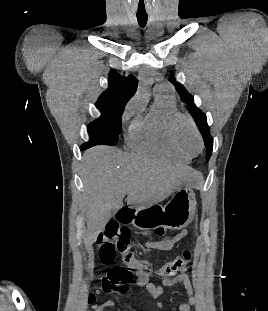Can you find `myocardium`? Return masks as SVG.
Wrapping results in <instances>:
<instances>
[{
  "mask_svg": "<svg viewBox=\"0 0 268 311\" xmlns=\"http://www.w3.org/2000/svg\"><path fill=\"white\" fill-rule=\"evenodd\" d=\"M187 123L190 128L193 130V132L195 133L196 137L198 138L199 141V150L197 153H191L189 152L181 143L180 138H179V127L181 125V123ZM168 134H169V138L172 142V144L174 145V147L181 152L182 154L188 156V157H194L197 154H199L204 146V142H203V138L202 135L197 127V125L195 124V122L193 121V119L186 114L183 113H175L173 116H171L169 123H168Z\"/></svg>",
  "mask_w": 268,
  "mask_h": 311,
  "instance_id": "1",
  "label": "myocardium"
}]
</instances>
